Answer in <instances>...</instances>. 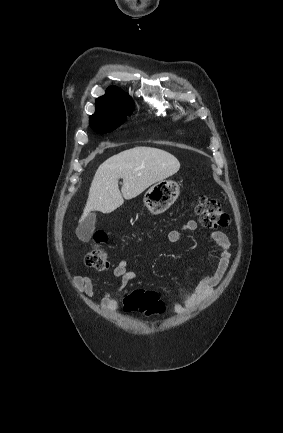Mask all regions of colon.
Instances as JSON below:
<instances>
[{"instance_id": "obj_1", "label": "colon", "mask_w": 283, "mask_h": 433, "mask_svg": "<svg viewBox=\"0 0 283 433\" xmlns=\"http://www.w3.org/2000/svg\"><path fill=\"white\" fill-rule=\"evenodd\" d=\"M195 211L199 216L201 224L209 229L227 227L230 224L229 215L222 209L219 202L201 195L195 204ZM106 241L104 234L95 238L93 245L85 254V264L97 271L108 270L110 263L106 250L101 246ZM124 309L128 312H140L145 315H157L164 311V304L155 292L147 290H136L124 299Z\"/></svg>"}]
</instances>
